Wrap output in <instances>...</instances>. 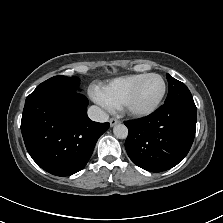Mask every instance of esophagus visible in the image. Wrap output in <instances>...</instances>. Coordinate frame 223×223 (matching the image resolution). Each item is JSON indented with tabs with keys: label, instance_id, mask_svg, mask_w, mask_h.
I'll list each match as a JSON object with an SVG mask.
<instances>
[{
	"label": "esophagus",
	"instance_id": "obj_1",
	"mask_svg": "<svg viewBox=\"0 0 223 223\" xmlns=\"http://www.w3.org/2000/svg\"><path fill=\"white\" fill-rule=\"evenodd\" d=\"M109 122H110V126L113 127L114 125L119 124L120 120H118L117 118L112 117Z\"/></svg>",
	"mask_w": 223,
	"mask_h": 223
}]
</instances>
